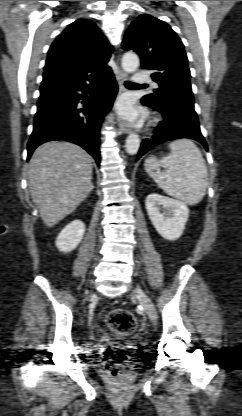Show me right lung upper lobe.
<instances>
[{
	"instance_id": "obj_1",
	"label": "right lung upper lobe",
	"mask_w": 242,
	"mask_h": 416,
	"mask_svg": "<svg viewBox=\"0 0 242 416\" xmlns=\"http://www.w3.org/2000/svg\"><path fill=\"white\" fill-rule=\"evenodd\" d=\"M112 47L94 22L79 19L63 31L48 52L40 92L64 88L99 78L107 66Z\"/></svg>"
}]
</instances>
